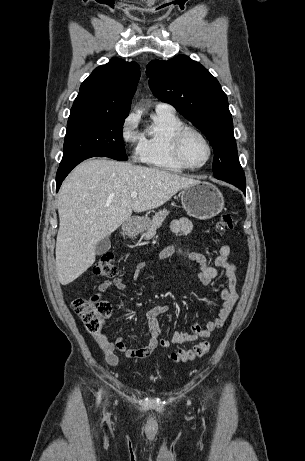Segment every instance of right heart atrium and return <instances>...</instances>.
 Listing matches in <instances>:
<instances>
[{
	"instance_id": "d8ad5b80",
	"label": "right heart atrium",
	"mask_w": 305,
	"mask_h": 461,
	"mask_svg": "<svg viewBox=\"0 0 305 461\" xmlns=\"http://www.w3.org/2000/svg\"><path fill=\"white\" fill-rule=\"evenodd\" d=\"M137 118L134 115H129L122 126L121 138L123 144L137 153L138 146L136 144L139 141V135L136 132Z\"/></svg>"
}]
</instances>
